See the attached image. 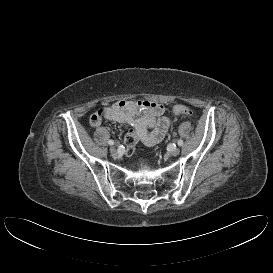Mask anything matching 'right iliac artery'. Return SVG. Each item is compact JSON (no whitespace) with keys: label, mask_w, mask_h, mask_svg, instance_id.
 <instances>
[{"label":"right iliac artery","mask_w":273,"mask_h":273,"mask_svg":"<svg viewBox=\"0 0 273 273\" xmlns=\"http://www.w3.org/2000/svg\"><path fill=\"white\" fill-rule=\"evenodd\" d=\"M108 144L112 146V145H114V141L113 140H109Z\"/></svg>","instance_id":"82829eb1"}]
</instances>
